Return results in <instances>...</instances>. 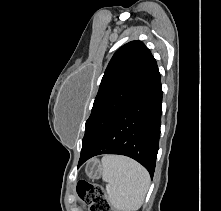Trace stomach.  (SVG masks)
Instances as JSON below:
<instances>
[{"label": "stomach", "mask_w": 221, "mask_h": 211, "mask_svg": "<svg viewBox=\"0 0 221 211\" xmlns=\"http://www.w3.org/2000/svg\"><path fill=\"white\" fill-rule=\"evenodd\" d=\"M87 176L91 179H98L102 175V166L99 160H91L85 168Z\"/></svg>", "instance_id": "0dacf381"}]
</instances>
